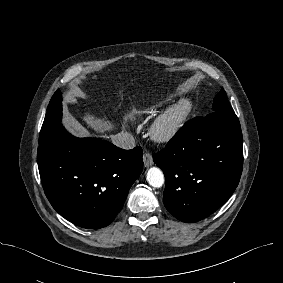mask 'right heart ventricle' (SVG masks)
Masks as SVG:
<instances>
[{"instance_id": "e07e8e85", "label": "right heart ventricle", "mask_w": 283, "mask_h": 283, "mask_svg": "<svg viewBox=\"0 0 283 283\" xmlns=\"http://www.w3.org/2000/svg\"><path fill=\"white\" fill-rule=\"evenodd\" d=\"M137 113H139V114H140V113H143V111H142V110H139Z\"/></svg>"}]
</instances>
